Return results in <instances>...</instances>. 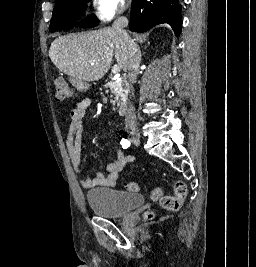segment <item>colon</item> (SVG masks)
Masks as SVG:
<instances>
[{
  "mask_svg": "<svg viewBox=\"0 0 256 267\" xmlns=\"http://www.w3.org/2000/svg\"><path fill=\"white\" fill-rule=\"evenodd\" d=\"M55 85H56L55 95L57 99L68 100L73 97L74 95L73 86L70 82H67L64 79H60L56 81ZM126 189L132 193H139L141 187L138 183L129 182L126 184ZM187 194H188V189L186 183L182 180H174L172 196L163 197V200L157 202H159L164 209L172 213H175L180 209L181 203L187 197ZM156 195H161L160 188L153 189L152 197L154 200H158V198L156 197H162Z\"/></svg>",
  "mask_w": 256,
  "mask_h": 267,
  "instance_id": "obj_1",
  "label": "colon"
}]
</instances>
